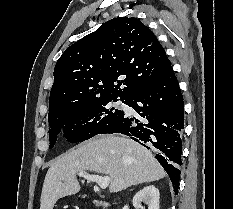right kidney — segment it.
<instances>
[{
	"mask_svg": "<svg viewBox=\"0 0 233 209\" xmlns=\"http://www.w3.org/2000/svg\"><path fill=\"white\" fill-rule=\"evenodd\" d=\"M159 190L154 185H149L141 189L135 194L132 204L136 209H144L141 202L148 205V209H159ZM123 209H129L128 205Z\"/></svg>",
	"mask_w": 233,
	"mask_h": 209,
	"instance_id": "obj_1",
	"label": "right kidney"
}]
</instances>
